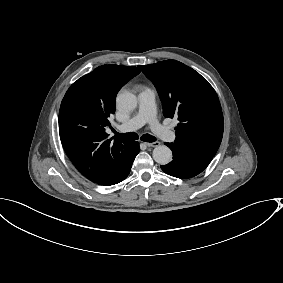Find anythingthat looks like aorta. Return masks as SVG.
I'll use <instances>...</instances> for the list:
<instances>
[{
	"label": "aorta",
	"instance_id": "obj_1",
	"mask_svg": "<svg viewBox=\"0 0 283 283\" xmlns=\"http://www.w3.org/2000/svg\"><path fill=\"white\" fill-rule=\"evenodd\" d=\"M116 102L117 105L124 110H133L137 107L136 96L128 91L119 93ZM152 156L155 162L166 165L172 160V151L166 145H160L154 148Z\"/></svg>",
	"mask_w": 283,
	"mask_h": 283
}]
</instances>
